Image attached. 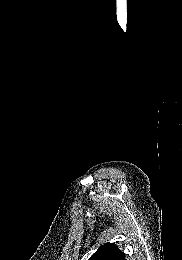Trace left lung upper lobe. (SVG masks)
<instances>
[{
    "instance_id": "5c2ea615",
    "label": "left lung upper lobe",
    "mask_w": 182,
    "mask_h": 260,
    "mask_svg": "<svg viewBox=\"0 0 182 260\" xmlns=\"http://www.w3.org/2000/svg\"><path fill=\"white\" fill-rule=\"evenodd\" d=\"M89 260H125V255L115 243H106L100 246Z\"/></svg>"
}]
</instances>
